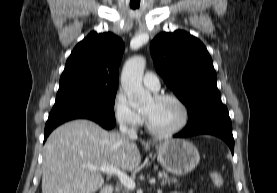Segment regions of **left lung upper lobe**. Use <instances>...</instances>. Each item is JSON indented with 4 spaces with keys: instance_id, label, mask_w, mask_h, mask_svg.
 I'll return each mask as SVG.
<instances>
[{
    "instance_id": "left-lung-upper-lobe-1",
    "label": "left lung upper lobe",
    "mask_w": 277,
    "mask_h": 193,
    "mask_svg": "<svg viewBox=\"0 0 277 193\" xmlns=\"http://www.w3.org/2000/svg\"><path fill=\"white\" fill-rule=\"evenodd\" d=\"M157 72L188 107V121L223 106L212 59L202 42L189 33L163 32L150 44Z\"/></svg>"
}]
</instances>
